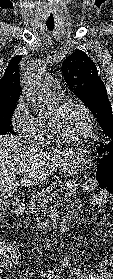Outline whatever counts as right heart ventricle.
Masks as SVG:
<instances>
[{"label": "right heart ventricle", "instance_id": "1", "mask_svg": "<svg viewBox=\"0 0 113 279\" xmlns=\"http://www.w3.org/2000/svg\"><path fill=\"white\" fill-rule=\"evenodd\" d=\"M52 139L53 136L49 130L46 120L42 117H36V132L31 139L32 142L36 144H49Z\"/></svg>", "mask_w": 113, "mask_h": 279}]
</instances>
